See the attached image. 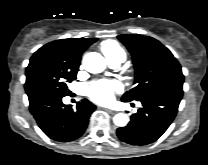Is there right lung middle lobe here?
<instances>
[{
  "label": "right lung middle lobe",
  "mask_w": 208,
  "mask_h": 165,
  "mask_svg": "<svg viewBox=\"0 0 208 165\" xmlns=\"http://www.w3.org/2000/svg\"><path fill=\"white\" fill-rule=\"evenodd\" d=\"M80 58L62 47L46 44L34 53L26 68L25 90L29 103L47 95L67 96V83L77 78Z\"/></svg>",
  "instance_id": "1"
}]
</instances>
